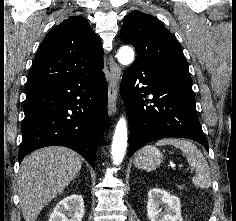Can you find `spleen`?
I'll list each match as a JSON object with an SVG mask.
<instances>
[{"label": "spleen", "instance_id": "obj_1", "mask_svg": "<svg viewBox=\"0 0 236 221\" xmlns=\"http://www.w3.org/2000/svg\"><path fill=\"white\" fill-rule=\"evenodd\" d=\"M156 146L173 145L180 149L186 157L188 164L196 169V175L192 178L193 183L202 189L211 185V175L208 162L204 155L190 141L177 138H164L155 143Z\"/></svg>", "mask_w": 236, "mask_h": 221}]
</instances>
